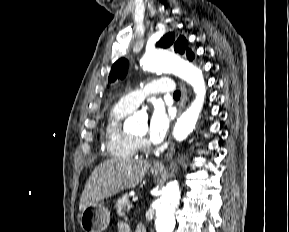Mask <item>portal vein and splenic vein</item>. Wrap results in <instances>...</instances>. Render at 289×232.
I'll list each match as a JSON object with an SVG mask.
<instances>
[{"instance_id": "obj_1", "label": "portal vein and splenic vein", "mask_w": 289, "mask_h": 232, "mask_svg": "<svg viewBox=\"0 0 289 232\" xmlns=\"http://www.w3.org/2000/svg\"><path fill=\"white\" fill-rule=\"evenodd\" d=\"M133 202L135 203V202H137L138 201V198L137 197H133Z\"/></svg>"}]
</instances>
